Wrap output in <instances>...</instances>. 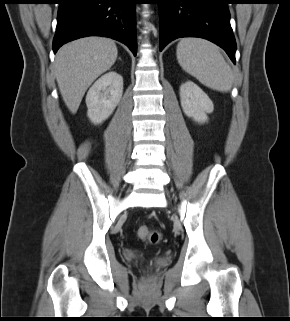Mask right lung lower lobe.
<instances>
[{
  "instance_id": "right-lung-lower-lobe-1",
  "label": "right lung lower lobe",
  "mask_w": 290,
  "mask_h": 321,
  "mask_svg": "<svg viewBox=\"0 0 290 321\" xmlns=\"http://www.w3.org/2000/svg\"><path fill=\"white\" fill-rule=\"evenodd\" d=\"M54 53L65 43L86 36L116 39L136 55L137 0H60Z\"/></svg>"
}]
</instances>
